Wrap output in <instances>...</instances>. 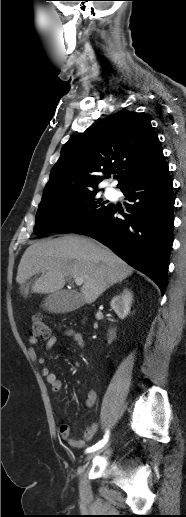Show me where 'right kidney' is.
<instances>
[{"instance_id": "obj_1", "label": "right kidney", "mask_w": 186, "mask_h": 517, "mask_svg": "<svg viewBox=\"0 0 186 517\" xmlns=\"http://www.w3.org/2000/svg\"><path fill=\"white\" fill-rule=\"evenodd\" d=\"M132 300V293L126 288L122 293L112 298L110 306L119 318L124 319L130 311Z\"/></svg>"}]
</instances>
